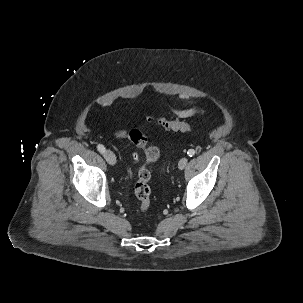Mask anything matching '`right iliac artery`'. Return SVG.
<instances>
[{
	"label": "right iliac artery",
	"instance_id": "1",
	"mask_svg": "<svg viewBox=\"0 0 303 303\" xmlns=\"http://www.w3.org/2000/svg\"><path fill=\"white\" fill-rule=\"evenodd\" d=\"M97 149H98V151H99L100 153H104V152H105V147H104L103 145H101V144H99V145L97 146Z\"/></svg>",
	"mask_w": 303,
	"mask_h": 303
}]
</instances>
